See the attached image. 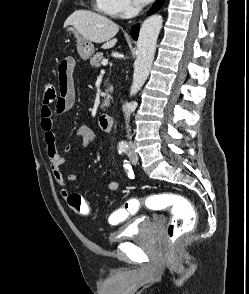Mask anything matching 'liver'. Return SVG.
<instances>
[{"label": "liver", "mask_w": 249, "mask_h": 294, "mask_svg": "<svg viewBox=\"0 0 249 294\" xmlns=\"http://www.w3.org/2000/svg\"><path fill=\"white\" fill-rule=\"evenodd\" d=\"M71 25L82 37L90 42L104 43L103 48H112L117 39L119 26L110 19L88 10H77L65 21L64 27Z\"/></svg>", "instance_id": "1"}]
</instances>
